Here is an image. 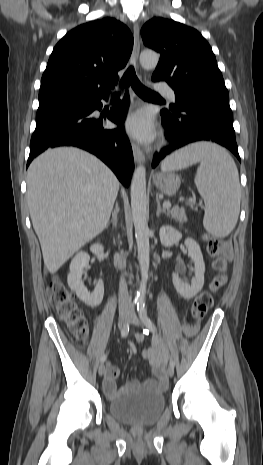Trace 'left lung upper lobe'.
Returning <instances> with one entry per match:
<instances>
[{"label": "left lung upper lobe", "mask_w": 263, "mask_h": 465, "mask_svg": "<svg viewBox=\"0 0 263 465\" xmlns=\"http://www.w3.org/2000/svg\"><path fill=\"white\" fill-rule=\"evenodd\" d=\"M141 35L145 46L161 54L152 80L166 81L182 100L229 102L212 48L197 30L158 17L143 26Z\"/></svg>", "instance_id": "obj_1"}]
</instances>
